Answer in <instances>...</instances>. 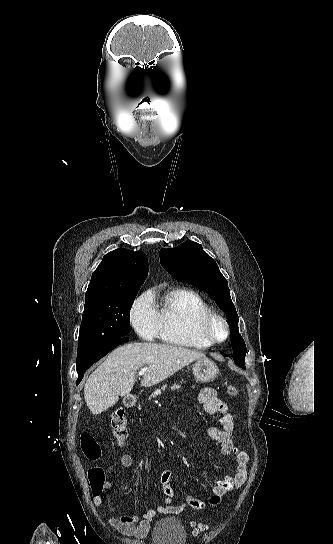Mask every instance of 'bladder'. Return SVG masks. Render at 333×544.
<instances>
[{
  "instance_id": "obj_1",
  "label": "bladder",
  "mask_w": 333,
  "mask_h": 544,
  "mask_svg": "<svg viewBox=\"0 0 333 544\" xmlns=\"http://www.w3.org/2000/svg\"><path fill=\"white\" fill-rule=\"evenodd\" d=\"M186 530L180 520L172 517L156 522L152 532L153 544H185Z\"/></svg>"
}]
</instances>
